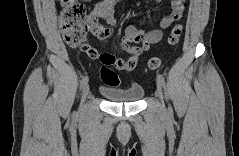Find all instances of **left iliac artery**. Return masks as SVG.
<instances>
[{
    "instance_id": "44dca946",
    "label": "left iliac artery",
    "mask_w": 239,
    "mask_h": 156,
    "mask_svg": "<svg viewBox=\"0 0 239 156\" xmlns=\"http://www.w3.org/2000/svg\"><path fill=\"white\" fill-rule=\"evenodd\" d=\"M157 81L161 84V86L165 87V79L161 74L157 75Z\"/></svg>"
}]
</instances>
